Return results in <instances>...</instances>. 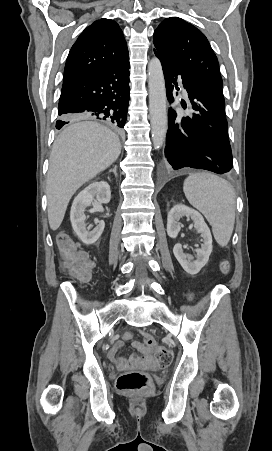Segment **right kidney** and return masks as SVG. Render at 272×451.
Returning a JSON list of instances; mask_svg holds the SVG:
<instances>
[{"label":"right kidney","mask_w":272,"mask_h":451,"mask_svg":"<svg viewBox=\"0 0 272 451\" xmlns=\"http://www.w3.org/2000/svg\"><path fill=\"white\" fill-rule=\"evenodd\" d=\"M110 200L111 190L107 182H93V184H89L85 190H82L76 196L72 204L70 220L74 231H76L83 243H87V245L95 243L105 227V222L96 218L94 220L96 226L91 231L87 229L85 224L86 216L84 214L86 208L93 204L95 210H102L100 204H109Z\"/></svg>","instance_id":"obj_1"}]
</instances>
